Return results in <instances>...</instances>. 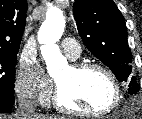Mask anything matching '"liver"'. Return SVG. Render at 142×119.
Segmentation results:
<instances>
[{
  "mask_svg": "<svg viewBox=\"0 0 142 119\" xmlns=\"http://www.w3.org/2000/svg\"><path fill=\"white\" fill-rule=\"evenodd\" d=\"M0 119H14L11 116H3L0 114ZM34 119H65L63 116L36 115Z\"/></svg>",
  "mask_w": 142,
  "mask_h": 119,
  "instance_id": "liver-1",
  "label": "liver"
}]
</instances>
